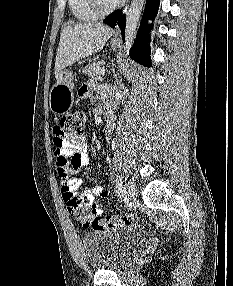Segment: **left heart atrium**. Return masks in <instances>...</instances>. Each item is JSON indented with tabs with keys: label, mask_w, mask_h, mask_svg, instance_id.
<instances>
[{
	"label": "left heart atrium",
	"mask_w": 233,
	"mask_h": 286,
	"mask_svg": "<svg viewBox=\"0 0 233 286\" xmlns=\"http://www.w3.org/2000/svg\"><path fill=\"white\" fill-rule=\"evenodd\" d=\"M122 0H115V3H119V2H121Z\"/></svg>",
	"instance_id": "39dd6f15"
}]
</instances>
